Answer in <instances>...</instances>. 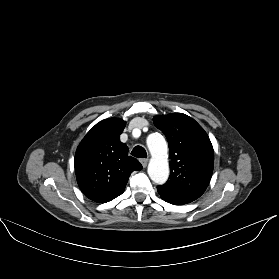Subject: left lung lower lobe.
<instances>
[{"label": "left lung lower lobe", "instance_id": "1", "mask_svg": "<svg viewBox=\"0 0 279 279\" xmlns=\"http://www.w3.org/2000/svg\"><path fill=\"white\" fill-rule=\"evenodd\" d=\"M163 200H165V201H167V202H169V203H171V204H174V205H182V204H180V203H176V202H173V201H169V200H166V199H164V198H162Z\"/></svg>", "mask_w": 279, "mask_h": 279}]
</instances>
